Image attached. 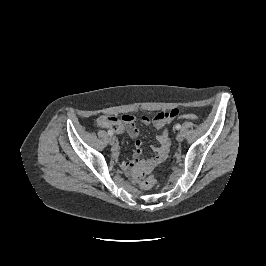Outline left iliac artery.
Instances as JSON below:
<instances>
[{"label": "left iliac artery", "mask_w": 266, "mask_h": 266, "mask_svg": "<svg viewBox=\"0 0 266 266\" xmlns=\"http://www.w3.org/2000/svg\"><path fill=\"white\" fill-rule=\"evenodd\" d=\"M175 128H176L177 130H179V129H181V125H180V124H176V125H175Z\"/></svg>", "instance_id": "44dca946"}]
</instances>
